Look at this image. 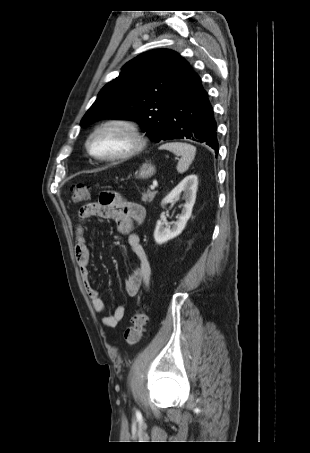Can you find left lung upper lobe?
<instances>
[{
    "mask_svg": "<svg viewBox=\"0 0 310 453\" xmlns=\"http://www.w3.org/2000/svg\"><path fill=\"white\" fill-rule=\"evenodd\" d=\"M190 69L184 58L168 49L137 56L122 68L117 78L103 87L80 125L104 118L135 119L147 136L159 142Z\"/></svg>",
    "mask_w": 310,
    "mask_h": 453,
    "instance_id": "1",
    "label": "left lung upper lobe"
}]
</instances>
